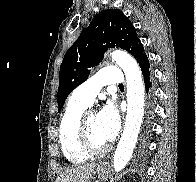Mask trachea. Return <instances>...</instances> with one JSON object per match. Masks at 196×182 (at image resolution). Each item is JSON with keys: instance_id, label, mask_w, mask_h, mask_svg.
Returning <instances> with one entry per match:
<instances>
[{"instance_id": "3493384b", "label": "trachea", "mask_w": 196, "mask_h": 182, "mask_svg": "<svg viewBox=\"0 0 196 182\" xmlns=\"http://www.w3.org/2000/svg\"><path fill=\"white\" fill-rule=\"evenodd\" d=\"M119 87H123V84H120Z\"/></svg>"}]
</instances>
